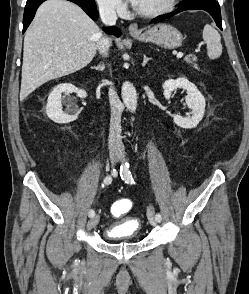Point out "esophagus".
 <instances>
[{
  "mask_svg": "<svg viewBox=\"0 0 249 294\" xmlns=\"http://www.w3.org/2000/svg\"><path fill=\"white\" fill-rule=\"evenodd\" d=\"M129 33L130 34H138L140 33V29L137 23H132L129 25Z\"/></svg>",
  "mask_w": 249,
  "mask_h": 294,
  "instance_id": "34e87169",
  "label": "esophagus"
}]
</instances>
